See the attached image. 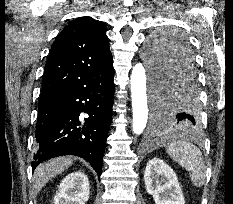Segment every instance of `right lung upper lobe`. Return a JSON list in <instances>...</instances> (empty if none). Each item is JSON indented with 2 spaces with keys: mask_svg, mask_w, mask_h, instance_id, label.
Instances as JSON below:
<instances>
[{
  "mask_svg": "<svg viewBox=\"0 0 233 204\" xmlns=\"http://www.w3.org/2000/svg\"><path fill=\"white\" fill-rule=\"evenodd\" d=\"M105 28L91 17L70 22L58 35L45 65L41 97L71 88L112 66Z\"/></svg>",
  "mask_w": 233,
  "mask_h": 204,
  "instance_id": "obj_1",
  "label": "right lung upper lobe"
}]
</instances>
